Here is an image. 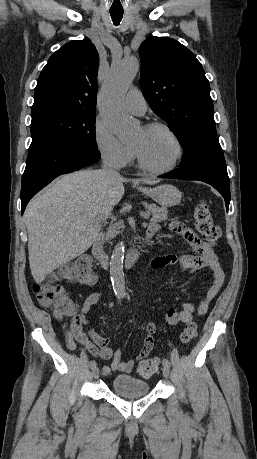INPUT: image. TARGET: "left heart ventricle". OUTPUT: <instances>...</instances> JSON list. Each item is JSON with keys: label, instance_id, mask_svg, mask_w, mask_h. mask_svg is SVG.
Returning a JSON list of instances; mask_svg holds the SVG:
<instances>
[{"label": "left heart ventricle", "instance_id": "1", "mask_svg": "<svg viewBox=\"0 0 257 459\" xmlns=\"http://www.w3.org/2000/svg\"><path fill=\"white\" fill-rule=\"evenodd\" d=\"M132 144L138 148L144 160L156 168L170 164L177 152L172 138L161 129L145 130L141 128Z\"/></svg>", "mask_w": 257, "mask_h": 459}]
</instances>
